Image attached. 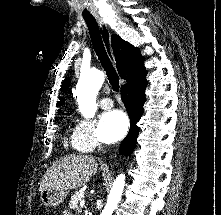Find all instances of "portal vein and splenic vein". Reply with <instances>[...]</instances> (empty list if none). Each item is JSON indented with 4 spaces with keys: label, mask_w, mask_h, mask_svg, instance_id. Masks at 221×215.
Segmentation results:
<instances>
[{
    "label": "portal vein and splenic vein",
    "mask_w": 221,
    "mask_h": 215,
    "mask_svg": "<svg viewBox=\"0 0 221 215\" xmlns=\"http://www.w3.org/2000/svg\"><path fill=\"white\" fill-rule=\"evenodd\" d=\"M84 205H85V201H84V200H81V201H80V206L83 207Z\"/></svg>",
    "instance_id": "portal-vein-and-splenic-vein-1"
}]
</instances>
